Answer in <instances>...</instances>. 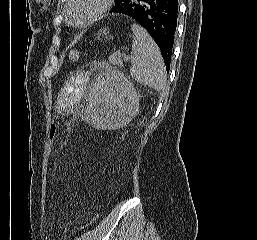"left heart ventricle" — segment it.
Masks as SVG:
<instances>
[{"mask_svg": "<svg viewBox=\"0 0 257 240\" xmlns=\"http://www.w3.org/2000/svg\"><path fill=\"white\" fill-rule=\"evenodd\" d=\"M100 0H74L69 7L70 18L74 23L87 19L99 7Z\"/></svg>", "mask_w": 257, "mask_h": 240, "instance_id": "obj_1", "label": "left heart ventricle"}]
</instances>
